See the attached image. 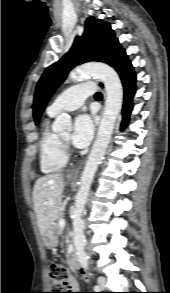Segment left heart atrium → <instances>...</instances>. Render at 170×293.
I'll list each match as a JSON object with an SVG mask.
<instances>
[{
	"label": "left heart atrium",
	"mask_w": 170,
	"mask_h": 293,
	"mask_svg": "<svg viewBox=\"0 0 170 293\" xmlns=\"http://www.w3.org/2000/svg\"><path fill=\"white\" fill-rule=\"evenodd\" d=\"M94 134V123L89 115L78 116L74 121L70 142L77 148H85Z\"/></svg>",
	"instance_id": "1"
}]
</instances>
